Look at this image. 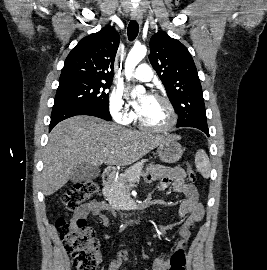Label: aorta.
Instances as JSON below:
<instances>
[{
	"label": "aorta",
	"instance_id": "aorta-1",
	"mask_svg": "<svg viewBox=\"0 0 267 270\" xmlns=\"http://www.w3.org/2000/svg\"><path fill=\"white\" fill-rule=\"evenodd\" d=\"M147 49L145 46L139 45L134 46L129 52L126 62H125V76L127 79H130L133 75L134 68L137 64L146 56ZM145 92L143 86H137L132 91V97L140 96Z\"/></svg>",
	"mask_w": 267,
	"mask_h": 270
}]
</instances>
